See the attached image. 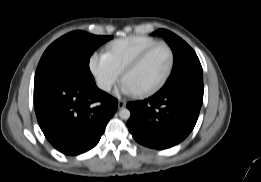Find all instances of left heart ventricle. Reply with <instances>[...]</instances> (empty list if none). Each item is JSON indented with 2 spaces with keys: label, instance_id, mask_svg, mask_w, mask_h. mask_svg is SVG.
<instances>
[{
  "label": "left heart ventricle",
  "instance_id": "b2bd125f",
  "mask_svg": "<svg viewBox=\"0 0 261 182\" xmlns=\"http://www.w3.org/2000/svg\"><path fill=\"white\" fill-rule=\"evenodd\" d=\"M169 52L164 47L154 50L146 60L125 78L135 92L156 84L165 74L169 65Z\"/></svg>",
  "mask_w": 261,
  "mask_h": 182
}]
</instances>
